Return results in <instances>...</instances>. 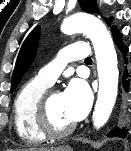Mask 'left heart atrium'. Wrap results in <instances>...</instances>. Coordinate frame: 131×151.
Masks as SVG:
<instances>
[{
  "label": "left heart atrium",
  "instance_id": "obj_1",
  "mask_svg": "<svg viewBox=\"0 0 131 151\" xmlns=\"http://www.w3.org/2000/svg\"><path fill=\"white\" fill-rule=\"evenodd\" d=\"M65 114L67 118L76 122L88 113L92 94L89 86L82 80H73L62 93Z\"/></svg>",
  "mask_w": 131,
  "mask_h": 151
}]
</instances>
